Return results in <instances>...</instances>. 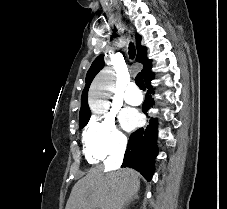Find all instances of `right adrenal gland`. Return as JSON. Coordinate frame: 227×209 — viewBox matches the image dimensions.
<instances>
[{"instance_id": "obj_1", "label": "right adrenal gland", "mask_w": 227, "mask_h": 209, "mask_svg": "<svg viewBox=\"0 0 227 209\" xmlns=\"http://www.w3.org/2000/svg\"><path fill=\"white\" fill-rule=\"evenodd\" d=\"M134 199H137V195H135V197H133V199H131V201H134ZM124 209V207H123Z\"/></svg>"}]
</instances>
